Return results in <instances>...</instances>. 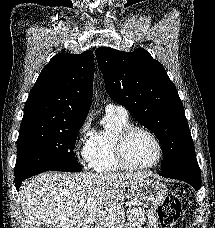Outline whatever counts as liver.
Wrapping results in <instances>:
<instances>
[{"mask_svg": "<svg viewBox=\"0 0 215 228\" xmlns=\"http://www.w3.org/2000/svg\"><path fill=\"white\" fill-rule=\"evenodd\" d=\"M143 178V172H44L21 184L19 202L30 228H123L125 190Z\"/></svg>", "mask_w": 215, "mask_h": 228, "instance_id": "obj_1", "label": "liver"}]
</instances>
